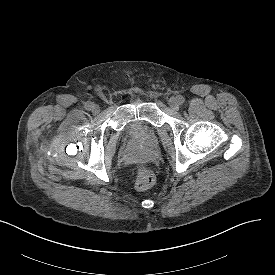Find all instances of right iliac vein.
<instances>
[{"mask_svg": "<svg viewBox=\"0 0 275 275\" xmlns=\"http://www.w3.org/2000/svg\"><path fill=\"white\" fill-rule=\"evenodd\" d=\"M91 111H92L94 114H98V113H99V111H100V107H99V105H97V104H93V103H92V108H91Z\"/></svg>", "mask_w": 275, "mask_h": 275, "instance_id": "obj_1", "label": "right iliac vein"}]
</instances>
